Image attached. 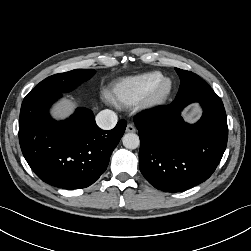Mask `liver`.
Listing matches in <instances>:
<instances>
[{
  "instance_id": "obj_1",
  "label": "liver",
  "mask_w": 251,
  "mask_h": 251,
  "mask_svg": "<svg viewBox=\"0 0 251 251\" xmlns=\"http://www.w3.org/2000/svg\"><path fill=\"white\" fill-rule=\"evenodd\" d=\"M62 108H63L62 105H61V106H57V107H55V109L52 111V113H54V114L62 113Z\"/></svg>"
}]
</instances>
